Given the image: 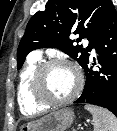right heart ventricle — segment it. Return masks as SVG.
Here are the masks:
<instances>
[{"label": "right heart ventricle", "instance_id": "right-heart-ventricle-1", "mask_svg": "<svg viewBox=\"0 0 117 131\" xmlns=\"http://www.w3.org/2000/svg\"><path fill=\"white\" fill-rule=\"evenodd\" d=\"M39 64L40 58H30L19 76L17 99L20 110L25 115H35L46 109V106L33 99L30 90L33 73Z\"/></svg>", "mask_w": 117, "mask_h": 131}]
</instances>
